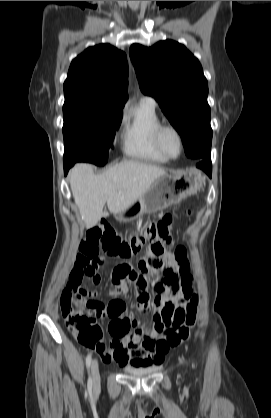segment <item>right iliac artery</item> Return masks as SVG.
Returning a JSON list of instances; mask_svg holds the SVG:
<instances>
[{
  "label": "right iliac artery",
  "instance_id": "1",
  "mask_svg": "<svg viewBox=\"0 0 271 418\" xmlns=\"http://www.w3.org/2000/svg\"><path fill=\"white\" fill-rule=\"evenodd\" d=\"M90 365H91V355H88L87 356V358H86V366H87V368L89 369L90 368ZM92 378L91 377H89V379H88V390L89 391H91L92 390Z\"/></svg>",
  "mask_w": 271,
  "mask_h": 418
}]
</instances>
